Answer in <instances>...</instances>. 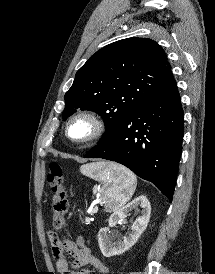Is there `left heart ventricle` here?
Instances as JSON below:
<instances>
[{
    "label": "left heart ventricle",
    "mask_w": 215,
    "mask_h": 274,
    "mask_svg": "<svg viewBox=\"0 0 215 274\" xmlns=\"http://www.w3.org/2000/svg\"><path fill=\"white\" fill-rule=\"evenodd\" d=\"M91 131L90 124L85 120H77L71 124L69 134L74 139L86 137Z\"/></svg>",
    "instance_id": "left-heart-ventricle-1"
}]
</instances>
